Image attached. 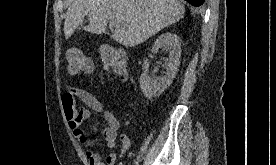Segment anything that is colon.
<instances>
[{"label":"colon","instance_id":"1","mask_svg":"<svg viewBox=\"0 0 276 165\" xmlns=\"http://www.w3.org/2000/svg\"><path fill=\"white\" fill-rule=\"evenodd\" d=\"M100 60L105 69L114 70L121 76L127 74L125 54L111 46H103L99 51ZM67 70L70 74H90L93 63L89 56L79 49H70L66 54Z\"/></svg>","mask_w":276,"mask_h":165}]
</instances>
